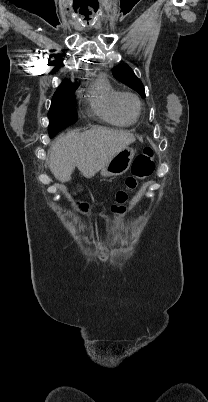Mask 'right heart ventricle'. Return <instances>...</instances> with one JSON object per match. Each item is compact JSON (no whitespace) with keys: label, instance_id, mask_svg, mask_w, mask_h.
I'll list each match as a JSON object with an SVG mask.
<instances>
[{"label":"right heart ventricle","instance_id":"right-heart-ventricle-1","mask_svg":"<svg viewBox=\"0 0 208 402\" xmlns=\"http://www.w3.org/2000/svg\"><path fill=\"white\" fill-rule=\"evenodd\" d=\"M121 92L114 89L105 76H101L91 86L88 102L91 111L101 121L117 128H127L135 121L126 118L117 107V99Z\"/></svg>","mask_w":208,"mask_h":402}]
</instances>
